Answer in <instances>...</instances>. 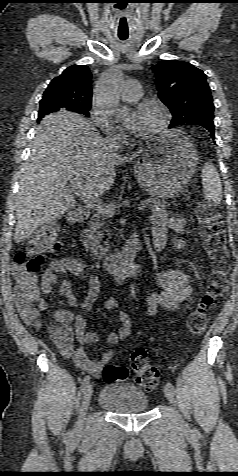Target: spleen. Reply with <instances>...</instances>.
I'll use <instances>...</instances> for the list:
<instances>
[{"instance_id":"3e777b00","label":"spleen","mask_w":238,"mask_h":476,"mask_svg":"<svg viewBox=\"0 0 238 476\" xmlns=\"http://www.w3.org/2000/svg\"><path fill=\"white\" fill-rule=\"evenodd\" d=\"M201 178L205 200L209 204H220L222 201V184L216 167L212 163L206 162L202 169Z\"/></svg>"}]
</instances>
